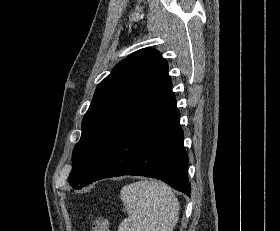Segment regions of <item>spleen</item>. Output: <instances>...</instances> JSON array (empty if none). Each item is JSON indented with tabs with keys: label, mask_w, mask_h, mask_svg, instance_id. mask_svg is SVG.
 I'll return each mask as SVG.
<instances>
[{
	"label": "spleen",
	"mask_w": 280,
	"mask_h": 231,
	"mask_svg": "<svg viewBox=\"0 0 280 231\" xmlns=\"http://www.w3.org/2000/svg\"><path fill=\"white\" fill-rule=\"evenodd\" d=\"M120 197L128 217L119 231H173L179 213V201L172 189L158 179H142L124 185Z\"/></svg>",
	"instance_id": "1"
}]
</instances>
